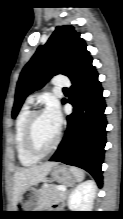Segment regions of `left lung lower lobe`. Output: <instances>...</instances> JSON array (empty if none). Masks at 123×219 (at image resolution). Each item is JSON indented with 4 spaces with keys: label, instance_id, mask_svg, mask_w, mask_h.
I'll return each mask as SVG.
<instances>
[{
    "label": "left lung lower lobe",
    "instance_id": "obj_1",
    "mask_svg": "<svg viewBox=\"0 0 123 219\" xmlns=\"http://www.w3.org/2000/svg\"><path fill=\"white\" fill-rule=\"evenodd\" d=\"M71 80L73 85L68 102L74 107L73 113L67 116L65 136L50 161L85 169L101 187V165L106 144V105L92 58L79 67Z\"/></svg>",
    "mask_w": 123,
    "mask_h": 219
}]
</instances>
